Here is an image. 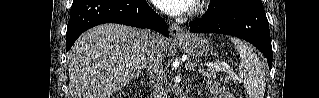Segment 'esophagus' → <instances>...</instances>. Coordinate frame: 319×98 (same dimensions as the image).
I'll return each instance as SVG.
<instances>
[{
    "label": "esophagus",
    "mask_w": 319,
    "mask_h": 98,
    "mask_svg": "<svg viewBox=\"0 0 319 98\" xmlns=\"http://www.w3.org/2000/svg\"><path fill=\"white\" fill-rule=\"evenodd\" d=\"M169 31L174 41L182 40L185 37L184 29L177 23H172L169 27Z\"/></svg>",
    "instance_id": "1"
}]
</instances>
